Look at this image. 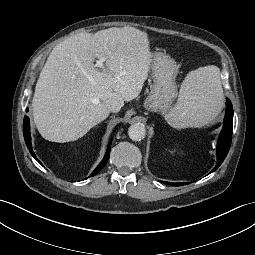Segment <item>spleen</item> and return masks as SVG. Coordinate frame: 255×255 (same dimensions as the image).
Returning <instances> with one entry per match:
<instances>
[{"instance_id":"3e777b00","label":"spleen","mask_w":255,"mask_h":255,"mask_svg":"<svg viewBox=\"0 0 255 255\" xmlns=\"http://www.w3.org/2000/svg\"><path fill=\"white\" fill-rule=\"evenodd\" d=\"M222 100L220 69L210 65L193 70L183 80L177 104L165 120L178 129L202 127L218 114Z\"/></svg>"}]
</instances>
